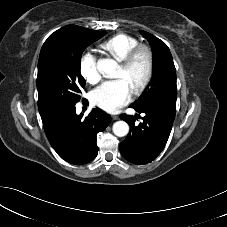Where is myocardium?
I'll use <instances>...</instances> for the list:
<instances>
[{"label": "myocardium", "mask_w": 227, "mask_h": 227, "mask_svg": "<svg viewBox=\"0 0 227 227\" xmlns=\"http://www.w3.org/2000/svg\"><path fill=\"white\" fill-rule=\"evenodd\" d=\"M140 56H143L146 60V74L141 83L132 91L134 96L141 95L153 78L155 67L153 51L148 45L137 44L128 51L120 63V68L122 70H128Z\"/></svg>", "instance_id": "f54148a6"}]
</instances>
